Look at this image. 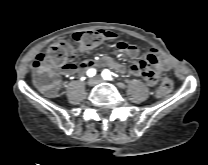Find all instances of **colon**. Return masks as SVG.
Returning a JSON list of instances; mask_svg holds the SVG:
<instances>
[{
	"label": "colon",
	"instance_id": "obj_1",
	"mask_svg": "<svg viewBox=\"0 0 208 165\" xmlns=\"http://www.w3.org/2000/svg\"><path fill=\"white\" fill-rule=\"evenodd\" d=\"M75 44L60 41L53 44L47 53L38 54L33 63L32 79L36 87L49 96H55L59 91V78L57 70L62 63L73 61L79 52L91 50L102 40L98 32H78L74 34ZM173 89V79L169 74L161 77L156 95L162 98Z\"/></svg>",
	"mask_w": 208,
	"mask_h": 165
}]
</instances>
